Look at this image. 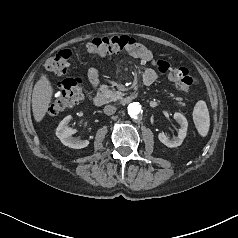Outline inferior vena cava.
Masks as SVG:
<instances>
[{
  "label": "inferior vena cava",
  "mask_w": 238,
  "mask_h": 238,
  "mask_svg": "<svg viewBox=\"0 0 238 238\" xmlns=\"http://www.w3.org/2000/svg\"><path fill=\"white\" fill-rule=\"evenodd\" d=\"M104 113L108 116L113 115L116 112V107L113 105H106L103 109Z\"/></svg>",
  "instance_id": "obj_1"
}]
</instances>
